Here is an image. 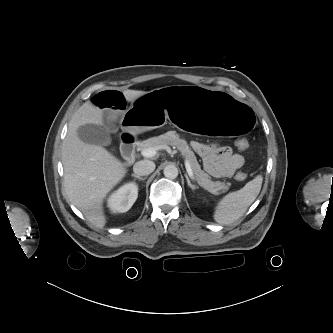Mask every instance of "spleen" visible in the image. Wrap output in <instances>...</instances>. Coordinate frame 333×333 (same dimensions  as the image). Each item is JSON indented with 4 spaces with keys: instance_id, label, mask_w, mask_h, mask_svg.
Returning a JSON list of instances; mask_svg holds the SVG:
<instances>
[{
    "instance_id": "obj_1",
    "label": "spleen",
    "mask_w": 333,
    "mask_h": 333,
    "mask_svg": "<svg viewBox=\"0 0 333 333\" xmlns=\"http://www.w3.org/2000/svg\"><path fill=\"white\" fill-rule=\"evenodd\" d=\"M262 182V175H257L253 180L246 183L242 189L222 197L216 203L214 220L223 225L237 221L259 195Z\"/></svg>"
}]
</instances>
